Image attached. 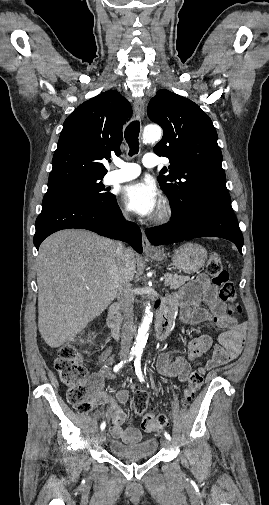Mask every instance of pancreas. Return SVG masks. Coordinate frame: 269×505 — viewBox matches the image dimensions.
<instances>
[{
    "label": "pancreas",
    "mask_w": 269,
    "mask_h": 505,
    "mask_svg": "<svg viewBox=\"0 0 269 505\" xmlns=\"http://www.w3.org/2000/svg\"><path fill=\"white\" fill-rule=\"evenodd\" d=\"M165 282L170 289H178L189 280L188 276L167 273L164 275Z\"/></svg>",
    "instance_id": "1"
}]
</instances>
